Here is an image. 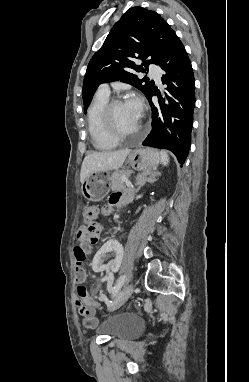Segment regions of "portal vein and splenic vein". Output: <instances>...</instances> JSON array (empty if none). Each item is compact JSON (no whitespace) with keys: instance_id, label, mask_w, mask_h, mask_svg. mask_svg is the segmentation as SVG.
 I'll return each mask as SVG.
<instances>
[{"instance_id":"obj_1","label":"portal vein and splenic vein","mask_w":249,"mask_h":382,"mask_svg":"<svg viewBox=\"0 0 249 382\" xmlns=\"http://www.w3.org/2000/svg\"><path fill=\"white\" fill-rule=\"evenodd\" d=\"M121 180L126 183L127 187L132 188L133 185L127 177H122Z\"/></svg>"}]
</instances>
